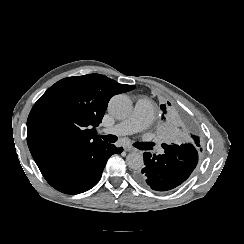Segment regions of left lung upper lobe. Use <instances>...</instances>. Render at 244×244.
<instances>
[{"label": "left lung upper lobe", "mask_w": 244, "mask_h": 244, "mask_svg": "<svg viewBox=\"0 0 244 244\" xmlns=\"http://www.w3.org/2000/svg\"><path fill=\"white\" fill-rule=\"evenodd\" d=\"M167 104L170 106V103L167 102ZM161 110L163 111V114H162V118H164V114H166V105H161L160 106ZM186 137H190L191 138V143H194L195 145H199V137L194 134L193 131L189 132L188 134H186Z\"/></svg>", "instance_id": "left-lung-upper-lobe-1"}]
</instances>
